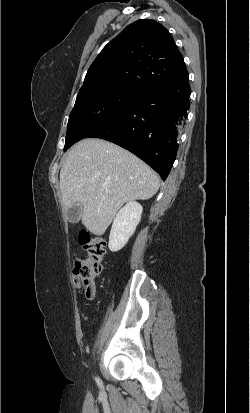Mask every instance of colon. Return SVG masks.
Returning <instances> with one entry per match:
<instances>
[{
	"instance_id": "1",
	"label": "colon",
	"mask_w": 250,
	"mask_h": 413,
	"mask_svg": "<svg viewBox=\"0 0 250 413\" xmlns=\"http://www.w3.org/2000/svg\"><path fill=\"white\" fill-rule=\"evenodd\" d=\"M79 242L86 255L75 259L73 274L78 287L84 290L88 299H91L94 294V279L102 271L106 244L102 238L92 236L87 231L80 232Z\"/></svg>"
}]
</instances>
